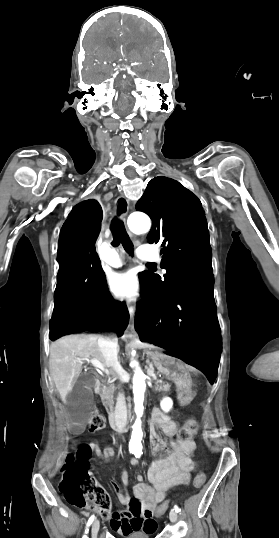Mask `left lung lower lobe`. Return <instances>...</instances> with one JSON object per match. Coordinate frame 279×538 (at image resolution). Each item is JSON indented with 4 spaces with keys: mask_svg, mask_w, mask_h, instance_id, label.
<instances>
[{
    "mask_svg": "<svg viewBox=\"0 0 279 538\" xmlns=\"http://www.w3.org/2000/svg\"><path fill=\"white\" fill-rule=\"evenodd\" d=\"M213 275L200 277L171 291L159 306L145 311L150 298L141 286L143 302L135 328L144 341L187 359L213 383L221 353V336L213 295Z\"/></svg>",
    "mask_w": 279,
    "mask_h": 538,
    "instance_id": "1",
    "label": "left lung lower lobe"
}]
</instances>
